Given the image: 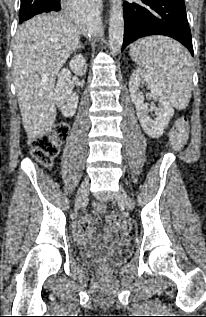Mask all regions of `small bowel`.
<instances>
[{"label": "small bowel", "instance_id": "c3829d8e", "mask_svg": "<svg viewBox=\"0 0 206 317\" xmlns=\"http://www.w3.org/2000/svg\"><path fill=\"white\" fill-rule=\"evenodd\" d=\"M84 224L88 225V228L86 231H83ZM96 227H97L96 219L90 215H87L84 218L79 219L74 223L73 233H74L75 238L79 242H81V243L86 242L87 240H89L93 237ZM106 234L108 237H114L115 236L114 228L107 227ZM129 238H130V233L129 234L122 233V240L123 241H127Z\"/></svg>", "mask_w": 206, "mask_h": 317}]
</instances>
